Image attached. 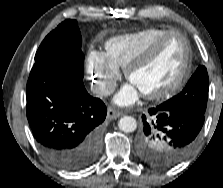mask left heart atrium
<instances>
[{"instance_id": "39dd6f15", "label": "left heart atrium", "mask_w": 223, "mask_h": 188, "mask_svg": "<svg viewBox=\"0 0 223 188\" xmlns=\"http://www.w3.org/2000/svg\"><path fill=\"white\" fill-rule=\"evenodd\" d=\"M139 94L140 91L136 87L128 84L117 93L114 101L120 106H130L137 101Z\"/></svg>"}]
</instances>
